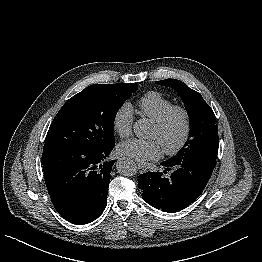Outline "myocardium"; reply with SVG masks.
<instances>
[{"mask_svg":"<svg viewBox=\"0 0 262 262\" xmlns=\"http://www.w3.org/2000/svg\"><path fill=\"white\" fill-rule=\"evenodd\" d=\"M176 114H180L182 116L184 121V130L181 139L175 146L164 149V153L168 156H174L180 153L186 147L191 137L192 118L190 111L183 105H173L159 120L155 122V126L160 131H165Z\"/></svg>","mask_w":262,"mask_h":262,"instance_id":"obj_1","label":"myocardium"}]
</instances>
